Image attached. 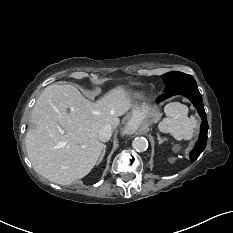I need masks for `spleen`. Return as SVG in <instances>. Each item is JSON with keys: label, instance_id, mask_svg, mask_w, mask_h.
I'll return each mask as SVG.
<instances>
[{"label": "spleen", "instance_id": "obj_1", "mask_svg": "<svg viewBox=\"0 0 233 233\" xmlns=\"http://www.w3.org/2000/svg\"><path fill=\"white\" fill-rule=\"evenodd\" d=\"M164 112L166 117L159 123V130L170 133L176 140H190L197 121L194 117H188L187 106L179 102L168 103Z\"/></svg>", "mask_w": 233, "mask_h": 233}]
</instances>
